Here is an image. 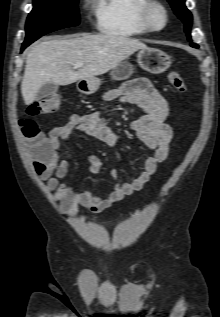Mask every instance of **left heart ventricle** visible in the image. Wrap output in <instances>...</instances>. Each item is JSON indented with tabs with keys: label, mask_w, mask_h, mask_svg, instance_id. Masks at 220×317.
Returning a JSON list of instances; mask_svg holds the SVG:
<instances>
[{
	"label": "left heart ventricle",
	"mask_w": 220,
	"mask_h": 317,
	"mask_svg": "<svg viewBox=\"0 0 220 317\" xmlns=\"http://www.w3.org/2000/svg\"><path fill=\"white\" fill-rule=\"evenodd\" d=\"M154 21H155L156 25H158V26H161L163 24V17L161 15V13H159V12L154 13Z\"/></svg>",
	"instance_id": "left-heart-ventricle-1"
}]
</instances>
